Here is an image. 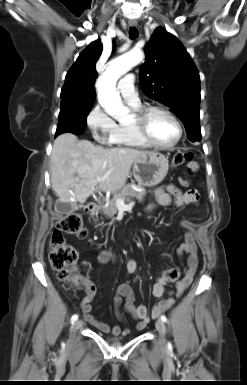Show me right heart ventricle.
Returning <instances> with one entry per match:
<instances>
[{
    "label": "right heart ventricle",
    "instance_id": "obj_1",
    "mask_svg": "<svg viewBox=\"0 0 247 385\" xmlns=\"http://www.w3.org/2000/svg\"><path fill=\"white\" fill-rule=\"evenodd\" d=\"M132 106V105H131ZM135 110H139L138 106H132ZM112 144L133 148H146V144L137 134L132 124L118 123L112 136Z\"/></svg>",
    "mask_w": 247,
    "mask_h": 385
}]
</instances>
